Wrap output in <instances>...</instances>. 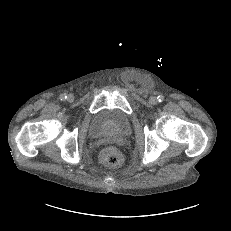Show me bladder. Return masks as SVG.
Wrapping results in <instances>:
<instances>
[{
	"instance_id": "31cf9c89",
	"label": "bladder",
	"mask_w": 231,
	"mask_h": 231,
	"mask_svg": "<svg viewBox=\"0 0 231 231\" xmlns=\"http://www.w3.org/2000/svg\"><path fill=\"white\" fill-rule=\"evenodd\" d=\"M130 130V119L118 109H104L97 113L89 126L91 136L98 137L110 133L117 137L125 136Z\"/></svg>"
}]
</instances>
